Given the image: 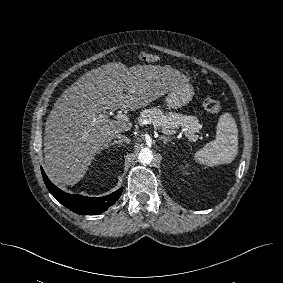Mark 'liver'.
<instances>
[{"mask_svg": "<svg viewBox=\"0 0 283 283\" xmlns=\"http://www.w3.org/2000/svg\"><path fill=\"white\" fill-rule=\"evenodd\" d=\"M185 78L171 67L113 62L86 72L58 98L44 131V159L52 180L74 185L96 154L130 122L99 119L106 110L149 105Z\"/></svg>", "mask_w": 283, "mask_h": 283, "instance_id": "liver-1", "label": "liver"}]
</instances>
